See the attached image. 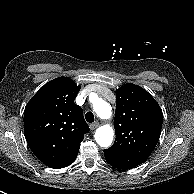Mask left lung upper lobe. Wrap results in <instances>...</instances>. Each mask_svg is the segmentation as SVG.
Returning a JSON list of instances; mask_svg holds the SVG:
<instances>
[{
    "label": "left lung upper lobe",
    "instance_id": "obj_1",
    "mask_svg": "<svg viewBox=\"0 0 194 194\" xmlns=\"http://www.w3.org/2000/svg\"><path fill=\"white\" fill-rule=\"evenodd\" d=\"M114 144L104 150L105 158L136 167L154 150L161 133L163 114L146 90L128 83L116 90Z\"/></svg>",
    "mask_w": 194,
    "mask_h": 194
}]
</instances>
